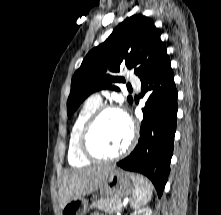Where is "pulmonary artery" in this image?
<instances>
[{"label":"pulmonary artery","mask_w":221,"mask_h":215,"mask_svg":"<svg viewBox=\"0 0 221 215\" xmlns=\"http://www.w3.org/2000/svg\"><path fill=\"white\" fill-rule=\"evenodd\" d=\"M130 82H131L135 87L139 88V86H140V80H139L137 77L132 76V77L130 78ZM92 97L95 98V99H97V100H101V98H100V96H99L98 94H95V95H93Z\"/></svg>","instance_id":"1"}]
</instances>
